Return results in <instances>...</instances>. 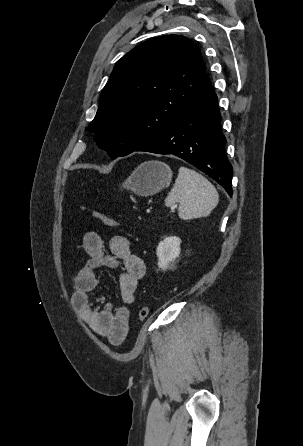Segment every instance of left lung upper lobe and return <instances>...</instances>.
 I'll return each mask as SVG.
<instances>
[{"mask_svg":"<svg viewBox=\"0 0 303 446\" xmlns=\"http://www.w3.org/2000/svg\"><path fill=\"white\" fill-rule=\"evenodd\" d=\"M210 84L201 50L180 35L148 40L115 65L88 129L115 159L161 137Z\"/></svg>","mask_w":303,"mask_h":446,"instance_id":"left-lung-upper-lobe-1","label":"left lung upper lobe"}]
</instances>
